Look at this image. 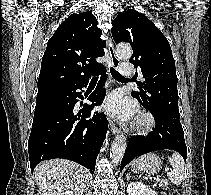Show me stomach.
Here are the masks:
<instances>
[{
    "mask_svg": "<svg viewBox=\"0 0 211 195\" xmlns=\"http://www.w3.org/2000/svg\"><path fill=\"white\" fill-rule=\"evenodd\" d=\"M133 169L140 172L156 173L161 169L162 160L154 153L140 156L132 163Z\"/></svg>",
    "mask_w": 211,
    "mask_h": 195,
    "instance_id": "obj_1",
    "label": "stomach"
}]
</instances>
